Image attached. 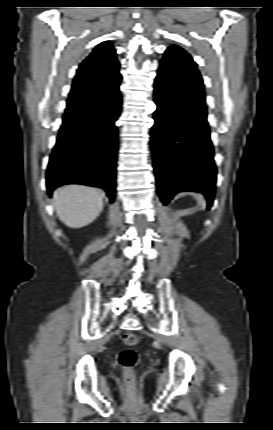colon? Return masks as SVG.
Here are the masks:
<instances>
[{
  "mask_svg": "<svg viewBox=\"0 0 273 430\" xmlns=\"http://www.w3.org/2000/svg\"><path fill=\"white\" fill-rule=\"evenodd\" d=\"M123 342L127 346H135L138 343L137 335L126 332L122 335ZM137 352L134 349H124L119 355V364L122 368L123 377L128 387H131L134 382V367L137 362Z\"/></svg>",
  "mask_w": 273,
  "mask_h": 430,
  "instance_id": "obj_1",
  "label": "colon"
}]
</instances>
